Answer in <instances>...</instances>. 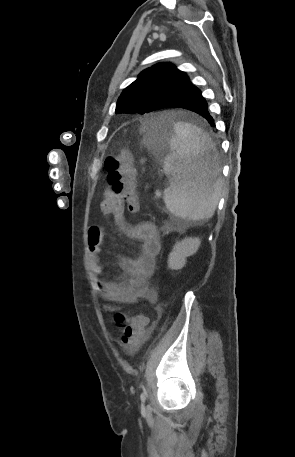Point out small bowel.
I'll list each match as a JSON object with an SVG mask.
<instances>
[{"label": "small bowel", "instance_id": "small-bowel-1", "mask_svg": "<svg viewBox=\"0 0 295 457\" xmlns=\"http://www.w3.org/2000/svg\"><path fill=\"white\" fill-rule=\"evenodd\" d=\"M100 211L104 217H113L125 233L140 242V252L137 257L117 258L124 272V279L114 283L103 277L104 268L101 263L104 232L100 226H93L88 232L90 267L96 277L97 291L100 297L107 302V311H119L120 303H137L140 300L155 302L157 294L149 288L148 279L155 268V260L161 250L158 231L151 222H142L129 226L124 221V204L115 195L111 188L104 191V199L100 204Z\"/></svg>", "mask_w": 295, "mask_h": 457}]
</instances>
